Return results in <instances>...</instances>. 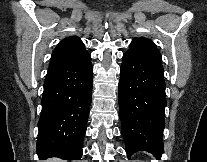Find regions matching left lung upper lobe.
<instances>
[{
    "mask_svg": "<svg viewBox=\"0 0 207 162\" xmlns=\"http://www.w3.org/2000/svg\"><path fill=\"white\" fill-rule=\"evenodd\" d=\"M127 52L161 61V54L155 44L144 37L135 38Z\"/></svg>",
    "mask_w": 207,
    "mask_h": 162,
    "instance_id": "1",
    "label": "left lung upper lobe"
}]
</instances>
